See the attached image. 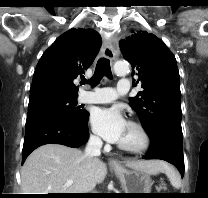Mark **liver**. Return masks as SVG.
<instances>
[{
    "instance_id": "6515ba94",
    "label": "liver",
    "mask_w": 208,
    "mask_h": 198,
    "mask_svg": "<svg viewBox=\"0 0 208 198\" xmlns=\"http://www.w3.org/2000/svg\"><path fill=\"white\" fill-rule=\"evenodd\" d=\"M125 165L156 175L163 171L162 161H127ZM107 166L99 158L91 162L85 153L60 144H46L33 151L21 169L23 194L87 193L92 184L102 183ZM68 180L73 184L66 187Z\"/></svg>"
}]
</instances>
